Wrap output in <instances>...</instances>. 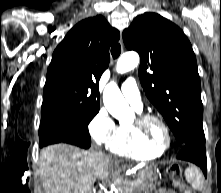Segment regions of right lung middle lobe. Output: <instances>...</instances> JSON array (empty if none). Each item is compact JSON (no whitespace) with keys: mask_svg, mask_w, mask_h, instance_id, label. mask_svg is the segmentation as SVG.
Listing matches in <instances>:
<instances>
[{"mask_svg":"<svg viewBox=\"0 0 221 193\" xmlns=\"http://www.w3.org/2000/svg\"><path fill=\"white\" fill-rule=\"evenodd\" d=\"M98 111L99 109L42 111L39 128L40 147L66 142L88 148L91 145L88 124Z\"/></svg>","mask_w":221,"mask_h":193,"instance_id":"obj_1","label":"right lung middle lobe"}]
</instances>
